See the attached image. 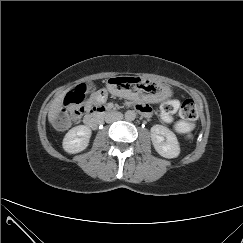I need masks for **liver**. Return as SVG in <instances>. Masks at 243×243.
Here are the masks:
<instances>
[{"mask_svg": "<svg viewBox=\"0 0 243 243\" xmlns=\"http://www.w3.org/2000/svg\"><path fill=\"white\" fill-rule=\"evenodd\" d=\"M67 91L68 90L64 91L62 94H60L57 98H55L53 100V102L50 106L49 112H48V120L50 123H53L57 119V117L62 109L63 99H64Z\"/></svg>", "mask_w": 243, "mask_h": 243, "instance_id": "1", "label": "liver"}]
</instances>
